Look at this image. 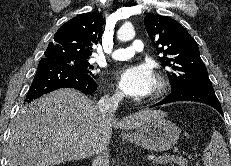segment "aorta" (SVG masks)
I'll list each match as a JSON object with an SVG mask.
<instances>
[{
    "instance_id": "aorta-1",
    "label": "aorta",
    "mask_w": 231,
    "mask_h": 166,
    "mask_svg": "<svg viewBox=\"0 0 231 166\" xmlns=\"http://www.w3.org/2000/svg\"><path fill=\"white\" fill-rule=\"evenodd\" d=\"M135 37V30L132 24L125 23L117 32V38L120 41H129Z\"/></svg>"
}]
</instances>
